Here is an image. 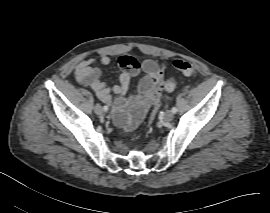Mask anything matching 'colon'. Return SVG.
<instances>
[{
	"mask_svg": "<svg viewBox=\"0 0 270 213\" xmlns=\"http://www.w3.org/2000/svg\"><path fill=\"white\" fill-rule=\"evenodd\" d=\"M173 65L178 71L186 76L195 77L197 75L196 68L191 62L185 60H175ZM163 89L166 91H173L175 89V81L173 79L165 81L163 84ZM159 108L160 103L157 102L154 106V110L157 111Z\"/></svg>",
	"mask_w": 270,
	"mask_h": 213,
	"instance_id": "colon-1",
	"label": "colon"
}]
</instances>
